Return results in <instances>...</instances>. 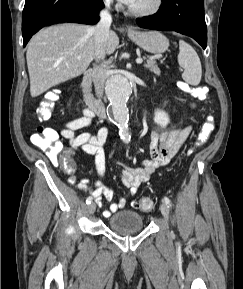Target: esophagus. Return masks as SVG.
<instances>
[{"instance_id": "obj_1", "label": "esophagus", "mask_w": 243, "mask_h": 289, "mask_svg": "<svg viewBox=\"0 0 243 289\" xmlns=\"http://www.w3.org/2000/svg\"><path fill=\"white\" fill-rule=\"evenodd\" d=\"M127 30H128L129 32H130V31H133L132 28L129 27V26L127 27Z\"/></svg>"}]
</instances>
